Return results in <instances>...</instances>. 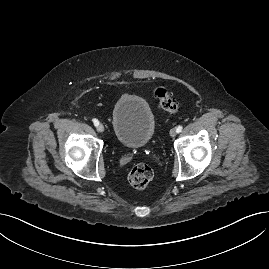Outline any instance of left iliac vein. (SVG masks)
Masks as SVG:
<instances>
[{"mask_svg":"<svg viewBox=\"0 0 269 269\" xmlns=\"http://www.w3.org/2000/svg\"><path fill=\"white\" fill-rule=\"evenodd\" d=\"M170 136L171 137H175L176 136V134H177V130L175 129V128H172L171 130H170Z\"/></svg>","mask_w":269,"mask_h":269,"instance_id":"1","label":"left iliac vein"}]
</instances>
